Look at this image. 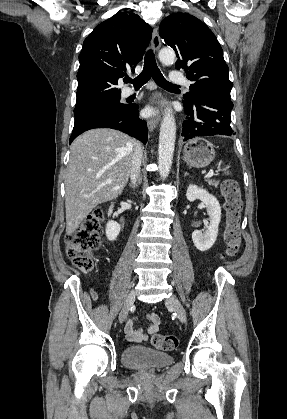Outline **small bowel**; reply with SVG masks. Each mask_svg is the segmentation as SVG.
I'll return each mask as SVG.
<instances>
[{"label":"small bowel","mask_w":287,"mask_h":419,"mask_svg":"<svg viewBox=\"0 0 287 419\" xmlns=\"http://www.w3.org/2000/svg\"><path fill=\"white\" fill-rule=\"evenodd\" d=\"M91 296L94 300L96 299L95 293H92ZM146 317L149 320L147 332H143V330L135 328V319L127 321L125 325V333L128 340L137 343L146 342L149 338V335L155 333L158 330L160 324L159 315L156 313H150L147 314Z\"/></svg>","instance_id":"small-bowel-1"}]
</instances>
